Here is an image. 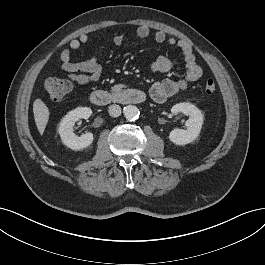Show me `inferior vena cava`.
Returning a JSON list of instances; mask_svg holds the SVG:
<instances>
[{"mask_svg":"<svg viewBox=\"0 0 265 265\" xmlns=\"http://www.w3.org/2000/svg\"><path fill=\"white\" fill-rule=\"evenodd\" d=\"M109 115L112 117H118L121 115V107L119 105H111L109 106Z\"/></svg>","mask_w":265,"mask_h":265,"instance_id":"1","label":"inferior vena cava"}]
</instances>
